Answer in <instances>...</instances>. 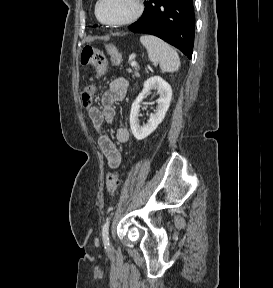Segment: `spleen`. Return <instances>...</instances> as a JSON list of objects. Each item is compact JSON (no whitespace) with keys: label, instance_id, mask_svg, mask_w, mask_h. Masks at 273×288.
Wrapping results in <instances>:
<instances>
[{"label":"spleen","instance_id":"obj_1","mask_svg":"<svg viewBox=\"0 0 273 288\" xmlns=\"http://www.w3.org/2000/svg\"><path fill=\"white\" fill-rule=\"evenodd\" d=\"M140 41L147 49L150 61L154 65H159L162 71L175 72L179 69V56L166 42L152 35H143Z\"/></svg>","mask_w":273,"mask_h":288}]
</instances>
